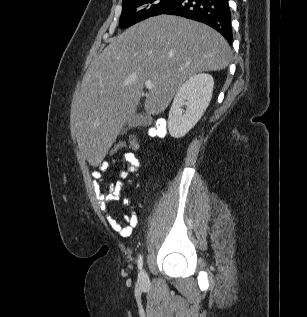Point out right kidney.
<instances>
[{
	"label": "right kidney",
	"mask_w": 307,
	"mask_h": 317,
	"mask_svg": "<svg viewBox=\"0 0 307 317\" xmlns=\"http://www.w3.org/2000/svg\"><path fill=\"white\" fill-rule=\"evenodd\" d=\"M214 87L213 77L201 73L191 76L178 89L168 117V130L172 137L185 136L207 109ZM186 106V110L182 106Z\"/></svg>",
	"instance_id": "right-kidney-1"
}]
</instances>
